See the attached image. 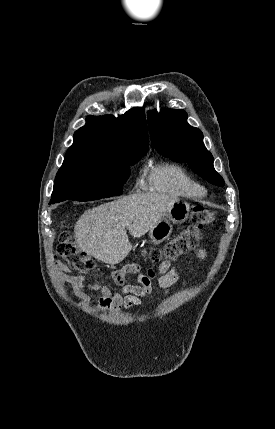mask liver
<instances>
[{"label": "liver", "instance_id": "6515ba94", "mask_svg": "<svg viewBox=\"0 0 275 429\" xmlns=\"http://www.w3.org/2000/svg\"><path fill=\"white\" fill-rule=\"evenodd\" d=\"M176 201L165 194H133L89 209L75 225V242L88 255L118 264L132 249L126 228L136 238L143 236Z\"/></svg>", "mask_w": 275, "mask_h": 429}]
</instances>
